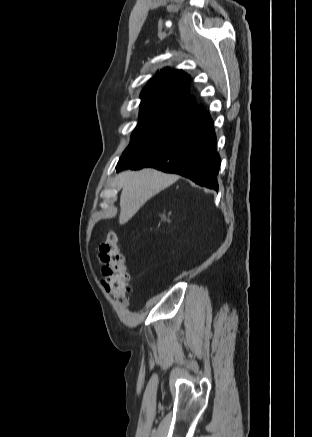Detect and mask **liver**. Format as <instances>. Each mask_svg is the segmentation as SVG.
<instances>
[{"mask_svg":"<svg viewBox=\"0 0 312 437\" xmlns=\"http://www.w3.org/2000/svg\"><path fill=\"white\" fill-rule=\"evenodd\" d=\"M119 179L123 187L120 196L119 224H125L150 198L171 186L179 177L154 169H143L125 171L121 173Z\"/></svg>","mask_w":312,"mask_h":437,"instance_id":"obj_1","label":"liver"}]
</instances>
